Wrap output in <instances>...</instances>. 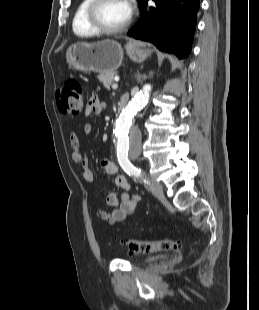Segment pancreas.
<instances>
[{"instance_id":"cf45deb5","label":"pancreas","mask_w":259,"mask_h":310,"mask_svg":"<svg viewBox=\"0 0 259 310\" xmlns=\"http://www.w3.org/2000/svg\"><path fill=\"white\" fill-rule=\"evenodd\" d=\"M115 72L102 73L98 76L100 82L103 83L104 87L109 88L114 81Z\"/></svg>"}]
</instances>
